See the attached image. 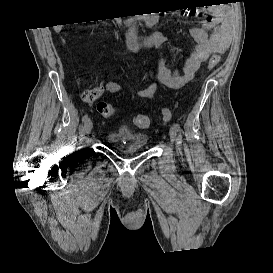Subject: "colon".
I'll use <instances>...</instances> for the list:
<instances>
[{
	"mask_svg": "<svg viewBox=\"0 0 273 273\" xmlns=\"http://www.w3.org/2000/svg\"><path fill=\"white\" fill-rule=\"evenodd\" d=\"M219 63V57L214 55L209 61L208 70L214 69ZM100 95V90L95 87L88 88L83 93V98L86 102H95ZM98 112L105 118H112L115 116V108L111 103L108 102H98L97 103ZM160 118L163 121H170L172 118V112L168 108H163L160 110ZM133 122L138 127H147L149 125V119L145 115H137L133 118Z\"/></svg>",
	"mask_w": 273,
	"mask_h": 273,
	"instance_id": "5ec220e1",
	"label": "colon"
}]
</instances>
